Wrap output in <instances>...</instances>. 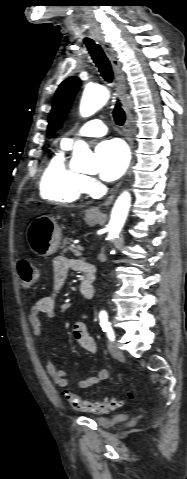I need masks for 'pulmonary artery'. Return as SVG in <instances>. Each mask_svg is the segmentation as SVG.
<instances>
[{
    "label": "pulmonary artery",
    "instance_id": "pulmonary-artery-1",
    "mask_svg": "<svg viewBox=\"0 0 187 479\" xmlns=\"http://www.w3.org/2000/svg\"><path fill=\"white\" fill-rule=\"evenodd\" d=\"M107 132L105 123L100 119H91L82 125L73 135L64 138L63 143L71 146L72 143L80 137H97Z\"/></svg>",
    "mask_w": 187,
    "mask_h": 479
}]
</instances>
